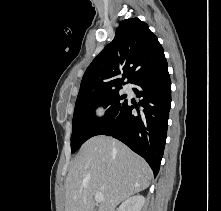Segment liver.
I'll list each match as a JSON object with an SVG mask.
<instances>
[{"label":"liver","mask_w":221,"mask_h":211,"mask_svg":"<svg viewBox=\"0 0 221 211\" xmlns=\"http://www.w3.org/2000/svg\"><path fill=\"white\" fill-rule=\"evenodd\" d=\"M152 170L122 142L107 136L86 141L66 178L65 211H93L94 196L102 193L98 211H114L130 196L149 187Z\"/></svg>","instance_id":"6515ba94"}]
</instances>
